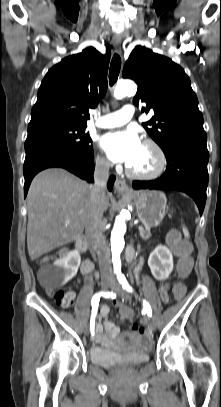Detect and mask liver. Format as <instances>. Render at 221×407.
Wrapping results in <instances>:
<instances>
[{
    "label": "liver",
    "mask_w": 221,
    "mask_h": 407,
    "mask_svg": "<svg viewBox=\"0 0 221 407\" xmlns=\"http://www.w3.org/2000/svg\"><path fill=\"white\" fill-rule=\"evenodd\" d=\"M109 205L106 197L103 211ZM27 208V248L35 260L81 236L91 218V186L64 169L43 170L31 182Z\"/></svg>",
    "instance_id": "obj_1"
}]
</instances>
